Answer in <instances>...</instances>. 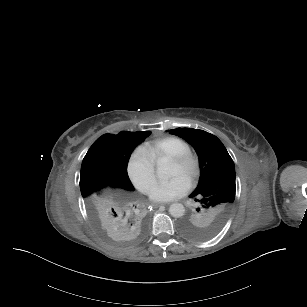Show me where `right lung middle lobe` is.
Returning a JSON list of instances; mask_svg holds the SVG:
<instances>
[{
    "mask_svg": "<svg viewBox=\"0 0 307 307\" xmlns=\"http://www.w3.org/2000/svg\"><path fill=\"white\" fill-rule=\"evenodd\" d=\"M113 177L111 167L87 152L81 166L80 190L85 197L106 185Z\"/></svg>",
    "mask_w": 307,
    "mask_h": 307,
    "instance_id": "1",
    "label": "right lung middle lobe"
}]
</instances>
